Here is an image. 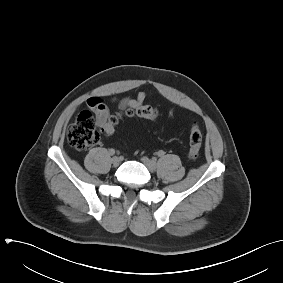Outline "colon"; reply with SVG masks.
<instances>
[{
	"label": "colon",
	"mask_w": 283,
	"mask_h": 283,
	"mask_svg": "<svg viewBox=\"0 0 283 283\" xmlns=\"http://www.w3.org/2000/svg\"><path fill=\"white\" fill-rule=\"evenodd\" d=\"M122 116L127 117H141L146 119L155 120L158 116L157 111L151 106L140 105L135 108H128L121 114L109 117L106 124L100 128L106 137L114 134L116 125ZM100 132L97 128L96 120L93 115L84 110L78 114L75 121L68 127L67 139L72 147L78 150L88 149L94 146L100 137ZM202 132L198 124H193L189 134V152L188 157L196 160L200 155L202 146Z\"/></svg>",
	"instance_id": "1"
}]
</instances>
